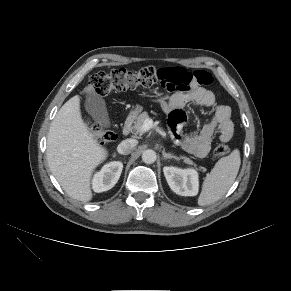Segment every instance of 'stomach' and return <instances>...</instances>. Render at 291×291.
<instances>
[{
    "mask_svg": "<svg viewBox=\"0 0 291 291\" xmlns=\"http://www.w3.org/2000/svg\"><path fill=\"white\" fill-rule=\"evenodd\" d=\"M141 110H142V107H141V106H137V107L132 111V113H133V114H138Z\"/></svg>",
    "mask_w": 291,
    "mask_h": 291,
    "instance_id": "stomach-1",
    "label": "stomach"
}]
</instances>
